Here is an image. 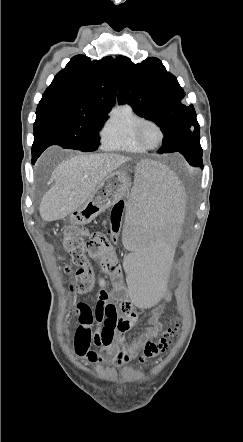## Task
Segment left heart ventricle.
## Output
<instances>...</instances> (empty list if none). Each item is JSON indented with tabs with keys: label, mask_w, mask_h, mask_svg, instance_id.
<instances>
[{
	"label": "left heart ventricle",
	"mask_w": 243,
	"mask_h": 442,
	"mask_svg": "<svg viewBox=\"0 0 243 442\" xmlns=\"http://www.w3.org/2000/svg\"><path fill=\"white\" fill-rule=\"evenodd\" d=\"M141 136L144 142L148 145L157 144L160 138L159 131L153 124H146L142 128Z\"/></svg>",
	"instance_id": "1"
}]
</instances>
